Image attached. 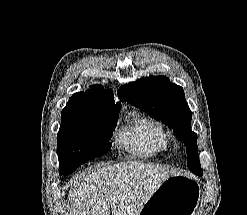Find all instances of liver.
Listing matches in <instances>:
<instances>
[{
  "label": "liver",
  "instance_id": "1",
  "mask_svg": "<svg viewBox=\"0 0 247 215\" xmlns=\"http://www.w3.org/2000/svg\"><path fill=\"white\" fill-rule=\"evenodd\" d=\"M180 172L157 164L122 162L79 176L69 191V215H138L160 184Z\"/></svg>",
  "mask_w": 247,
  "mask_h": 215
}]
</instances>
